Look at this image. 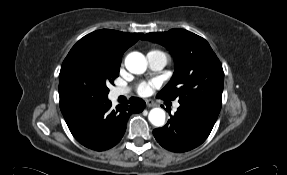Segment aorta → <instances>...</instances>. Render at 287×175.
Wrapping results in <instances>:
<instances>
[{
	"label": "aorta",
	"instance_id": "762f6f07",
	"mask_svg": "<svg viewBox=\"0 0 287 175\" xmlns=\"http://www.w3.org/2000/svg\"><path fill=\"white\" fill-rule=\"evenodd\" d=\"M127 70L133 74H142L147 69L145 56L140 52H131L125 58ZM148 119L156 127H162L165 123V111L162 108H153Z\"/></svg>",
	"mask_w": 287,
	"mask_h": 175
}]
</instances>
